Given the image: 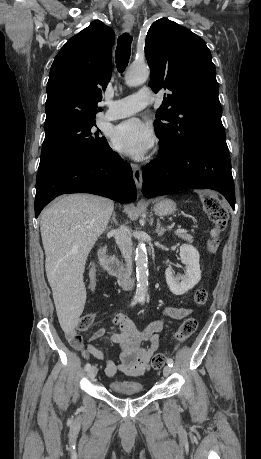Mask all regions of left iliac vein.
Listing matches in <instances>:
<instances>
[{
    "instance_id": "left-iliac-vein-1",
    "label": "left iliac vein",
    "mask_w": 261,
    "mask_h": 459,
    "mask_svg": "<svg viewBox=\"0 0 261 459\" xmlns=\"http://www.w3.org/2000/svg\"><path fill=\"white\" fill-rule=\"evenodd\" d=\"M172 372V369L170 366L166 365L164 368H163V375L165 377L169 376Z\"/></svg>"
}]
</instances>
